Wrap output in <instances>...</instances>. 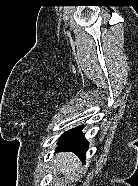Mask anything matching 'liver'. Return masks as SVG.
Masks as SVG:
<instances>
[{
	"instance_id": "6515ba94",
	"label": "liver",
	"mask_w": 138,
	"mask_h": 186,
	"mask_svg": "<svg viewBox=\"0 0 138 186\" xmlns=\"http://www.w3.org/2000/svg\"><path fill=\"white\" fill-rule=\"evenodd\" d=\"M55 166L59 173L69 176L79 169L80 164L75 154L73 153H59L55 158Z\"/></svg>"
}]
</instances>
